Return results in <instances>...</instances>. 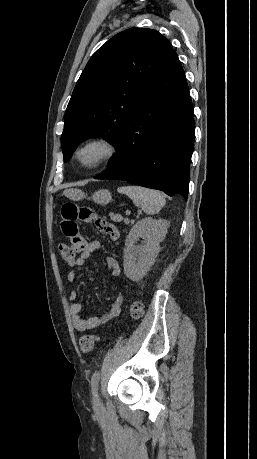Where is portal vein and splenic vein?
Listing matches in <instances>:
<instances>
[{
	"label": "portal vein and splenic vein",
	"instance_id": "portal-vein-and-splenic-vein-1",
	"mask_svg": "<svg viewBox=\"0 0 257 459\" xmlns=\"http://www.w3.org/2000/svg\"><path fill=\"white\" fill-rule=\"evenodd\" d=\"M124 222H125L126 224H128V223H129V220L126 218V219L124 220Z\"/></svg>",
	"mask_w": 257,
	"mask_h": 459
}]
</instances>
